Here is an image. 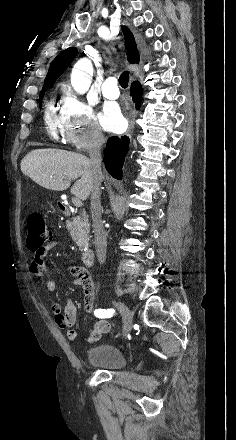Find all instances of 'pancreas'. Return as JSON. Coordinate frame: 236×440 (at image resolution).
I'll list each match as a JSON object with an SVG mask.
<instances>
[{
    "instance_id": "obj_1",
    "label": "pancreas",
    "mask_w": 236,
    "mask_h": 440,
    "mask_svg": "<svg viewBox=\"0 0 236 440\" xmlns=\"http://www.w3.org/2000/svg\"><path fill=\"white\" fill-rule=\"evenodd\" d=\"M67 229L81 251H84L88 247L90 233V224L88 215L82 214L76 216L67 225Z\"/></svg>"
}]
</instances>
